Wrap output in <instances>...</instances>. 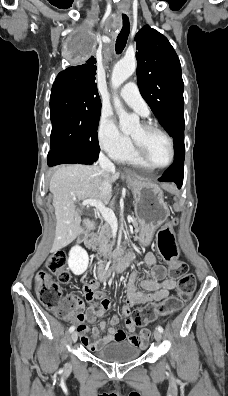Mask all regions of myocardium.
Masks as SVG:
<instances>
[{"label": "myocardium", "instance_id": "1", "mask_svg": "<svg viewBox=\"0 0 228 396\" xmlns=\"http://www.w3.org/2000/svg\"><path fill=\"white\" fill-rule=\"evenodd\" d=\"M141 125L147 131H156V132L160 133L161 135H163L167 139V141H168V143L170 145L171 154H170V158H169L167 163H165L163 165H160V166L153 165L148 160V158L146 157L142 146L137 141H135L132 138L133 152H134L136 158L146 168H149V169H152V170H162V169H165V168L169 167L173 163V161L175 159V145H174L173 138L171 137V135L167 131H165L164 129H162L161 127H159L158 125H156L153 122L145 121Z\"/></svg>", "mask_w": 228, "mask_h": 396}]
</instances>
